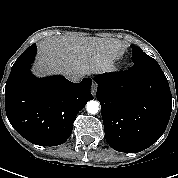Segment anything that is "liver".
Wrapping results in <instances>:
<instances>
[{
	"mask_svg": "<svg viewBox=\"0 0 178 178\" xmlns=\"http://www.w3.org/2000/svg\"><path fill=\"white\" fill-rule=\"evenodd\" d=\"M125 46L113 39L61 37L43 40L38 46L34 72L39 76L61 73L97 74L112 68Z\"/></svg>",
	"mask_w": 178,
	"mask_h": 178,
	"instance_id": "1",
	"label": "liver"
}]
</instances>
